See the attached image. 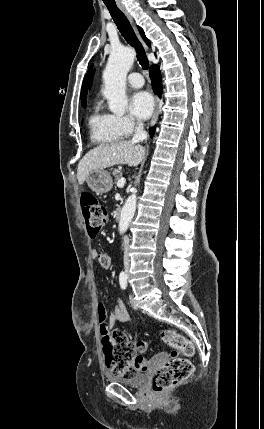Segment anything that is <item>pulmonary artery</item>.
<instances>
[{
	"label": "pulmonary artery",
	"mask_w": 264,
	"mask_h": 429,
	"mask_svg": "<svg viewBox=\"0 0 264 429\" xmlns=\"http://www.w3.org/2000/svg\"><path fill=\"white\" fill-rule=\"evenodd\" d=\"M129 85L133 88H140L144 85V79L138 72L130 73L127 77Z\"/></svg>",
	"instance_id": "pulmonary-artery-1"
}]
</instances>
